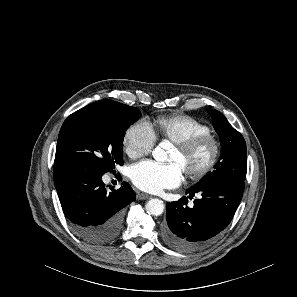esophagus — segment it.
Listing matches in <instances>:
<instances>
[{
  "instance_id": "obj_1",
  "label": "esophagus",
  "mask_w": 297,
  "mask_h": 297,
  "mask_svg": "<svg viewBox=\"0 0 297 297\" xmlns=\"http://www.w3.org/2000/svg\"><path fill=\"white\" fill-rule=\"evenodd\" d=\"M136 198L138 200H146V199L151 198V196L149 194H146V193L138 192L137 195H136Z\"/></svg>"
}]
</instances>
